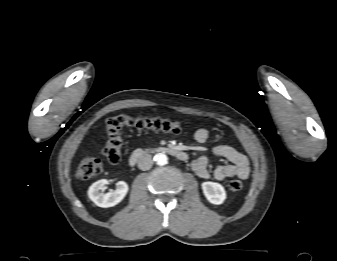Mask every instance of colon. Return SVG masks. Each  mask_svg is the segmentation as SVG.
<instances>
[{
	"label": "colon",
	"instance_id": "1",
	"mask_svg": "<svg viewBox=\"0 0 337 261\" xmlns=\"http://www.w3.org/2000/svg\"><path fill=\"white\" fill-rule=\"evenodd\" d=\"M124 127H135L138 129H153L157 131L171 132L179 134L184 131V127L179 122L161 118L129 116L125 114L117 115L108 119L106 123L107 141L103 149V154L111 163H117L121 159L122 140L120 131ZM102 172V163L95 157H83L77 166L76 175L81 180H88L98 176ZM243 187L240 180L233 179L228 182V188L232 191H239Z\"/></svg>",
	"mask_w": 337,
	"mask_h": 261
}]
</instances>
